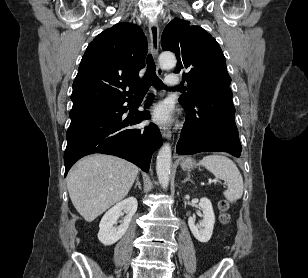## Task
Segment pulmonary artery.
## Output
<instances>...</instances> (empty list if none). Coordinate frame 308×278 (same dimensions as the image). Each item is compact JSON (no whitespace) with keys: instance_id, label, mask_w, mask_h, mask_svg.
I'll return each instance as SVG.
<instances>
[{"instance_id":"pulmonary-artery-1","label":"pulmonary artery","mask_w":308,"mask_h":278,"mask_svg":"<svg viewBox=\"0 0 308 278\" xmlns=\"http://www.w3.org/2000/svg\"><path fill=\"white\" fill-rule=\"evenodd\" d=\"M166 84L168 86H177L180 84V78L176 74H170L166 77Z\"/></svg>"}]
</instances>
